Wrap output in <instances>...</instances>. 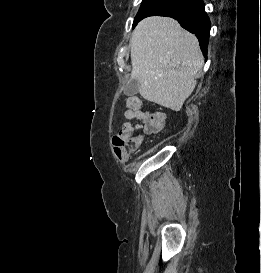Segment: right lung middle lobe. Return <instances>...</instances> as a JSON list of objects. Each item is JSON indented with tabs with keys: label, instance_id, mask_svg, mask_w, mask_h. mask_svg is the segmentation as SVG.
Masks as SVG:
<instances>
[{
	"label": "right lung middle lobe",
	"instance_id": "obj_1",
	"mask_svg": "<svg viewBox=\"0 0 261 273\" xmlns=\"http://www.w3.org/2000/svg\"><path fill=\"white\" fill-rule=\"evenodd\" d=\"M168 9L169 7L167 6V0H143L141 7L134 19L133 28L143 18L158 15Z\"/></svg>",
	"mask_w": 261,
	"mask_h": 273
}]
</instances>
